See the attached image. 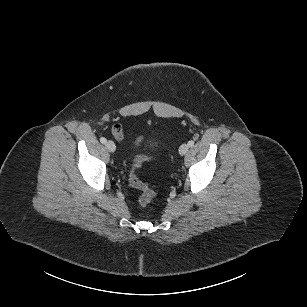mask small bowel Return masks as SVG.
I'll use <instances>...</instances> for the list:
<instances>
[{
	"instance_id": "1",
	"label": "small bowel",
	"mask_w": 307,
	"mask_h": 307,
	"mask_svg": "<svg viewBox=\"0 0 307 307\" xmlns=\"http://www.w3.org/2000/svg\"><path fill=\"white\" fill-rule=\"evenodd\" d=\"M112 134L119 141L123 139V130H122L120 125H115L112 128ZM142 138H143L142 136L138 137L136 144H139L141 142Z\"/></svg>"
}]
</instances>
